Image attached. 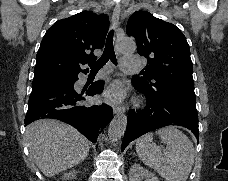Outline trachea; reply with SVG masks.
Returning <instances> with one entry per match:
<instances>
[{"label": "trachea", "instance_id": "3493384b", "mask_svg": "<svg viewBox=\"0 0 228 181\" xmlns=\"http://www.w3.org/2000/svg\"><path fill=\"white\" fill-rule=\"evenodd\" d=\"M113 35H114V30H110L107 40H106V45L103 51L102 56L97 60L93 61L92 63H89V67L91 68V72H97L100 70L109 60L115 65H117V58L114 52V47H113Z\"/></svg>", "mask_w": 228, "mask_h": 181}]
</instances>
